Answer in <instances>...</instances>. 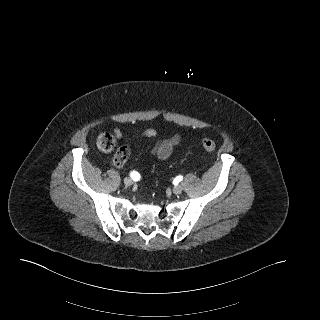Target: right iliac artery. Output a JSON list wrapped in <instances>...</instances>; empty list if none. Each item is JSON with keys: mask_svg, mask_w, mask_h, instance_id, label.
I'll use <instances>...</instances> for the list:
<instances>
[{"mask_svg": "<svg viewBox=\"0 0 320 320\" xmlns=\"http://www.w3.org/2000/svg\"><path fill=\"white\" fill-rule=\"evenodd\" d=\"M130 176H131V178H132L133 180H138V179H139V174H138L137 172H132V173L130 174Z\"/></svg>", "mask_w": 320, "mask_h": 320, "instance_id": "82829eb1", "label": "right iliac artery"}]
</instances>
